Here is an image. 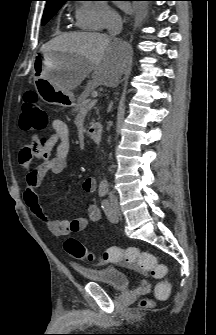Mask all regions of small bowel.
I'll use <instances>...</instances> for the list:
<instances>
[{"instance_id": "obj_1", "label": "small bowel", "mask_w": 216, "mask_h": 335, "mask_svg": "<svg viewBox=\"0 0 216 335\" xmlns=\"http://www.w3.org/2000/svg\"><path fill=\"white\" fill-rule=\"evenodd\" d=\"M54 133L45 140L34 138L29 145L23 146L19 152V163L26 172V188L24 199L32 213L45 223L50 232L57 236H66L85 230L89 223L98 222L101 219L99 207L92 203L87 208L85 217L72 220H55L50 218L40 204L36 189L41 185L47 173H62L66 167V159L70 151V137L67 124L61 119L52 121ZM36 159L40 163L32 167V161ZM96 180L86 178L82 188L84 191L94 192Z\"/></svg>"}]
</instances>
